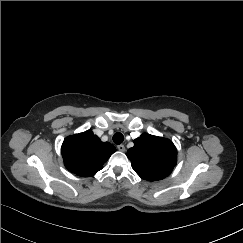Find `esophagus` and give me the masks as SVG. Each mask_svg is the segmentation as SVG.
<instances>
[{
    "label": "esophagus",
    "instance_id": "1",
    "mask_svg": "<svg viewBox=\"0 0 243 243\" xmlns=\"http://www.w3.org/2000/svg\"><path fill=\"white\" fill-rule=\"evenodd\" d=\"M117 149L119 150V151H121V152H125V146L123 145V144H120V145H118L117 146Z\"/></svg>",
    "mask_w": 243,
    "mask_h": 243
}]
</instances>
